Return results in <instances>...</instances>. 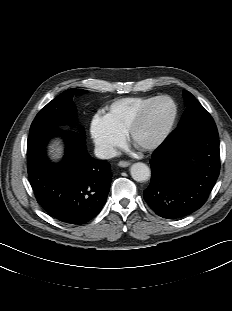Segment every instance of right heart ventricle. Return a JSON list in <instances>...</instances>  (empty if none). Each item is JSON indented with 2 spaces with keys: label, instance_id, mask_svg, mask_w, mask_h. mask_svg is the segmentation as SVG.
<instances>
[{
  "label": "right heart ventricle",
  "instance_id": "e07e8e85",
  "mask_svg": "<svg viewBox=\"0 0 232 311\" xmlns=\"http://www.w3.org/2000/svg\"><path fill=\"white\" fill-rule=\"evenodd\" d=\"M153 98L132 96L116 99L106 107L104 118L117 133L124 135L137 112Z\"/></svg>",
  "mask_w": 232,
  "mask_h": 311
}]
</instances>
